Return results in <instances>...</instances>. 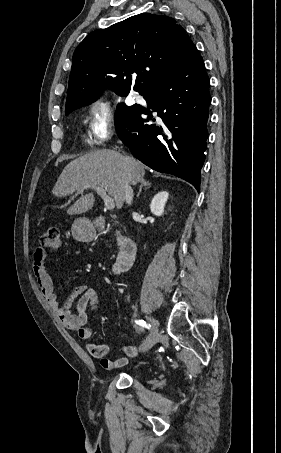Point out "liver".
Wrapping results in <instances>:
<instances>
[{
    "mask_svg": "<svg viewBox=\"0 0 281 453\" xmlns=\"http://www.w3.org/2000/svg\"><path fill=\"white\" fill-rule=\"evenodd\" d=\"M145 164L133 156H123L118 150L100 148L86 152L71 160L63 168L52 192L54 196H67L85 186L83 190L92 186L105 188L109 196H113L116 208H122L125 200V182L137 184L145 174ZM68 208V214H82L94 206L93 192L83 194Z\"/></svg>",
    "mask_w": 281,
    "mask_h": 453,
    "instance_id": "1",
    "label": "liver"
}]
</instances>
